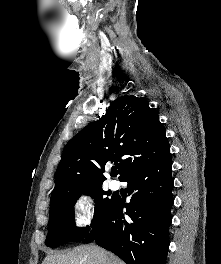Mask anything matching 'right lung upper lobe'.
<instances>
[{
	"mask_svg": "<svg viewBox=\"0 0 221 264\" xmlns=\"http://www.w3.org/2000/svg\"><path fill=\"white\" fill-rule=\"evenodd\" d=\"M170 153L165 128L147 101L124 95L106 115L82 129L65 146L56 170L50 207L59 199L102 186L103 172L119 164V179L148 167ZM123 158V159H122ZM113 170V168H112Z\"/></svg>",
	"mask_w": 221,
	"mask_h": 264,
	"instance_id": "right-lung-upper-lobe-1",
	"label": "right lung upper lobe"
}]
</instances>
